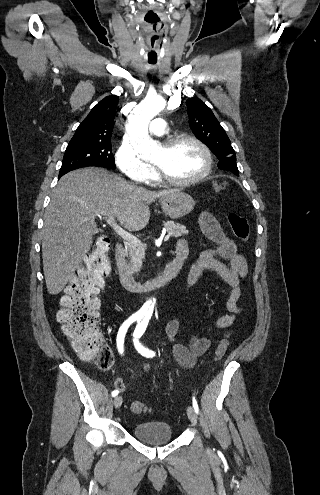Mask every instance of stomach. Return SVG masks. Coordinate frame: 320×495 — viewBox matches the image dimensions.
<instances>
[{
    "label": "stomach",
    "mask_w": 320,
    "mask_h": 495,
    "mask_svg": "<svg viewBox=\"0 0 320 495\" xmlns=\"http://www.w3.org/2000/svg\"><path fill=\"white\" fill-rule=\"evenodd\" d=\"M194 206V199L181 191H175L161 199L162 210L171 219H178L189 214Z\"/></svg>",
    "instance_id": "0dacf381"
}]
</instances>
